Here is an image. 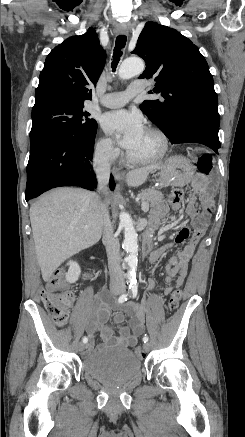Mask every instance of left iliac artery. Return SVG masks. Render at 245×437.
I'll use <instances>...</instances> for the list:
<instances>
[{"instance_id":"obj_1","label":"left iliac artery","mask_w":245,"mask_h":437,"mask_svg":"<svg viewBox=\"0 0 245 437\" xmlns=\"http://www.w3.org/2000/svg\"><path fill=\"white\" fill-rule=\"evenodd\" d=\"M129 288H130V292L132 294V297L135 298L137 296V293H138V285H137L136 281H133L130 284ZM143 341H144V343L148 342V336H146V334L143 337Z\"/></svg>"}]
</instances>
